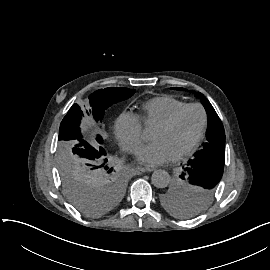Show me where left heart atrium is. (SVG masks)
<instances>
[{
	"label": "left heart atrium",
	"mask_w": 270,
	"mask_h": 270,
	"mask_svg": "<svg viewBox=\"0 0 270 270\" xmlns=\"http://www.w3.org/2000/svg\"><path fill=\"white\" fill-rule=\"evenodd\" d=\"M177 156L173 147L166 141H154L146 145L138 155L140 164L147 168L171 163Z\"/></svg>",
	"instance_id": "1"
}]
</instances>
